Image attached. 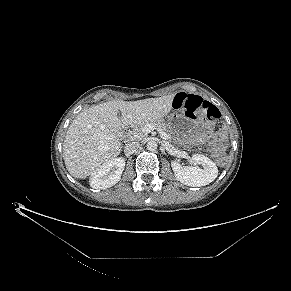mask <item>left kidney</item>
Listing matches in <instances>:
<instances>
[{
  "mask_svg": "<svg viewBox=\"0 0 291 291\" xmlns=\"http://www.w3.org/2000/svg\"><path fill=\"white\" fill-rule=\"evenodd\" d=\"M191 162L197 166H182L172 161L171 166L178 181L191 187H201L213 182L218 175L216 164L208 157L201 154H194Z\"/></svg>",
  "mask_w": 291,
  "mask_h": 291,
  "instance_id": "obj_1",
  "label": "left kidney"
}]
</instances>
